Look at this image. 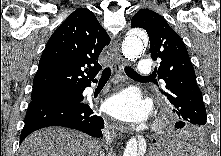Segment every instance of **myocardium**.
Returning a JSON list of instances; mask_svg holds the SVG:
<instances>
[{
	"label": "myocardium",
	"instance_id": "obj_1",
	"mask_svg": "<svg viewBox=\"0 0 221 156\" xmlns=\"http://www.w3.org/2000/svg\"><path fill=\"white\" fill-rule=\"evenodd\" d=\"M163 125H164V123L160 121L156 124L155 129L160 130L163 127Z\"/></svg>",
	"mask_w": 221,
	"mask_h": 156
}]
</instances>
